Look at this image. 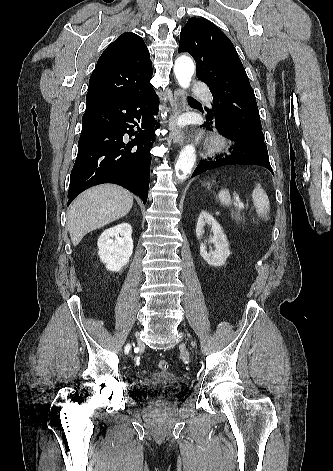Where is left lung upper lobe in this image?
Wrapping results in <instances>:
<instances>
[{
	"instance_id": "1",
	"label": "left lung upper lobe",
	"mask_w": 333,
	"mask_h": 471,
	"mask_svg": "<svg viewBox=\"0 0 333 471\" xmlns=\"http://www.w3.org/2000/svg\"><path fill=\"white\" fill-rule=\"evenodd\" d=\"M178 52L193 56L198 79L213 95L207 115L235 136L264 143L255 94L230 39L210 21L192 17L181 30Z\"/></svg>"
}]
</instances>
